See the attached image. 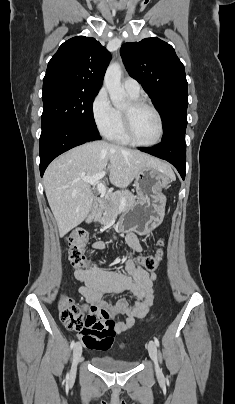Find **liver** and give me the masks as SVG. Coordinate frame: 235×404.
Segmentation results:
<instances>
[{"mask_svg":"<svg viewBox=\"0 0 235 404\" xmlns=\"http://www.w3.org/2000/svg\"><path fill=\"white\" fill-rule=\"evenodd\" d=\"M147 166L174 177L167 163L105 141L85 143L59 156L46 169L43 182L60 235L82 223L92 208L91 184L84 177L107 171L110 183L124 188Z\"/></svg>","mask_w":235,"mask_h":404,"instance_id":"liver-1","label":"liver"}]
</instances>
